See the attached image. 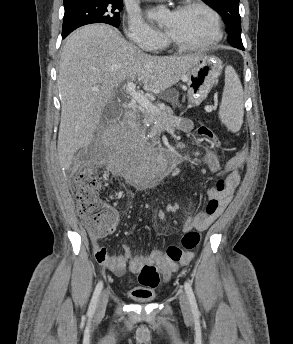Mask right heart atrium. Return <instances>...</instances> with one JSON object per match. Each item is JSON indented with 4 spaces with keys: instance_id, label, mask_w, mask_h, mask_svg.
<instances>
[{
    "instance_id": "1",
    "label": "right heart atrium",
    "mask_w": 293,
    "mask_h": 344,
    "mask_svg": "<svg viewBox=\"0 0 293 344\" xmlns=\"http://www.w3.org/2000/svg\"><path fill=\"white\" fill-rule=\"evenodd\" d=\"M125 33L131 44L143 51H154L164 41L162 33L153 29L137 14L129 13L126 18Z\"/></svg>"
}]
</instances>
